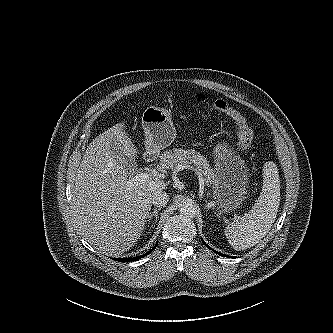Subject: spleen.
Wrapping results in <instances>:
<instances>
[{
  "label": "spleen",
  "mask_w": 333,
  "mask_h": 333,
  "mask_svg": "<svg viewBox=\"0 0 333 333\" xmlns=\"http://www.w3.org/2000/svg\"><path fill=\"white\" fill-rule=\"evenodd\" d=\"M280 205L278 168L272 161L263 167L262 192L252 209L239 216L225 228V235L233 249L240 251L255 246L270 231Z\"/></svg>",
  "instance_id": "obj_1"
}]
</instances>
